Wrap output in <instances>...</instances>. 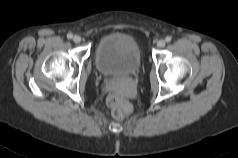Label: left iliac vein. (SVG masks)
I'll use <instances>...</instances> for the list:
<instances>
[{
  "label": "left iliac vein",
  "instance_id": "4c4485c4",
  "mask_svg": "<svg viewBox=\"0 0 238 158\" xmlns=\"http://www.w3.org/2000/svg\"><path fill=\"white\" fill-rule=\"evenodd\" d=\"M165 45H166V41L164 39H160L157 43V46L159 48H163V47H165Z\"/></svg>",
  "mask_w": 238,
  "mask_h": 158
}]
</instances>
